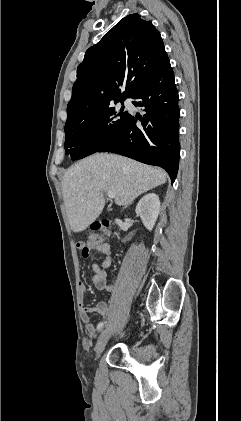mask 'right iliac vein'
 Segmentation results:
<instances>
[{
  "instance_id": "obj_1",
  "label": "right iliac vein",
  "mask_w": 241,
  "mask_h": 421,
  "mask_svg": "<svg viewBox=\"0 0 241 421\" xmlns=\"http://www.w3.org/2000/svg\"><path fill=\"white\" fill-rule=\"evenodd\" d=\"M111 333H112V330L110 328H106L101 332V334L98 338V341L96 343V346H95V354H96L97 357L100 356V354L103 352V350H104V348H105V346H106V344H107V342H108V340L111 336Z\"/></svg>"
}]
</instances>
